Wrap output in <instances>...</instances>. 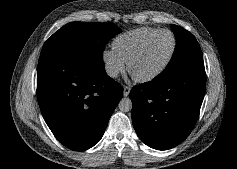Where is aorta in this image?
<instances>
[{
  "label": "aorta",
  "instance_id": "obj_1",
  "mask_svg": "<svg viewBox=\"0 0 237 169\" xmlns=\"http://www.w3.org/2000/svg\"><path fill=\"white\" fill-rule=\"evenodd\" d=\"M132 101L130 98H122L118 104V108L121 112H129L132 110Z\"/></svg>",
  "mask_w": 237,
  "mask_h": 169
}]
</instances>
